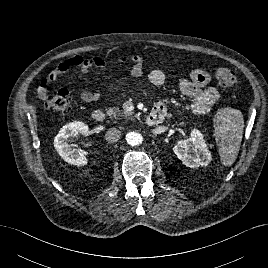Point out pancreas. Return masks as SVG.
<instances>
[{
  "mask_svg": "<svg viewBox=\"0 0 268 268\" xmlns=\"http://www.w3.org/2000/svg\"><path fill=\"white\" fill-rule=\"evenodd\" d=\"M106 113L108 116L114 118H127L130 115V113L126 111H120L118 107L107 108Z\"/></svg>",
  "mask_w": 268,
  "mask_h": 268,
  "instance_id": "cf45deb5",
  "label": "pancreas"
}]
</instances>
